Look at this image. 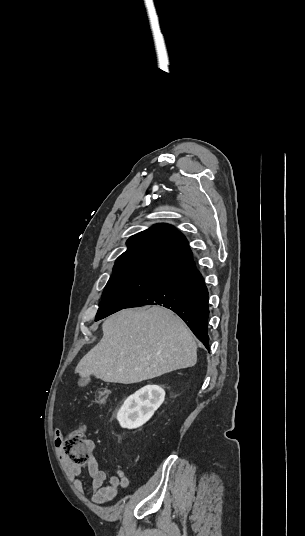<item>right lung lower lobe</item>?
I'll return each instance as SVG.
<instances>
[{
    "label": "right lung lower lobe",
    "instance_id": "98d812e1",
    "mask_svg": "<svg viewBox=\"0 0 305 536\" xmlns=\"http://www.w3.org/2000/svg\"><path fill=\"white\" fill-rule=\"evenodd\" d=\"M163 305L177 313L209 350L208 290L195 264L166 276L126 308Z\"/></svg>",
    "mask_w": 305,
    "mask_h": 536
}]
</instances>
